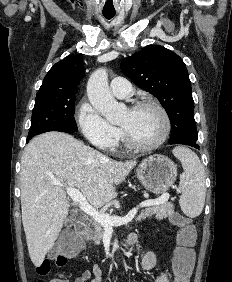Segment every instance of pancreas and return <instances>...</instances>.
Returning <instances> with one entry per match:
<instances>
[{"label":"pancreas","mask_w":232,"mask_h":282,"mask_svg":"<svg viewBox=\"0 0 232 282\" xmlns=\"http://www.w3.org/2000/svg\"><path fill=\"white\" fill-rule=\"evenodd\" d=\"M174 213V206L170 202H165L161 205H155L146 208L138 217L137 221H141L145 219L146 217H151L152 215H155V218L157 220H162L164 218H167L171 214ZM91 226L93 227L86 233V238L89 240H93L95 244H100L101 240L104 235V226L93 220L90 222Z\"/></svg>","instance_id":"cf45deb5"}]
</instances>
